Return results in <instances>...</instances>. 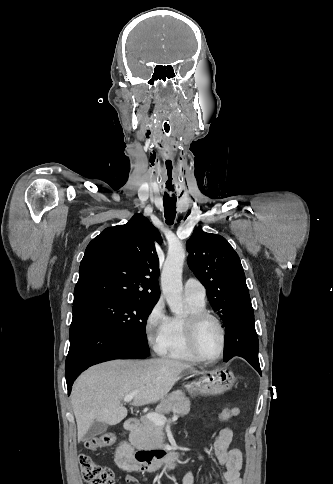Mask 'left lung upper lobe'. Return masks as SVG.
I'll list each match as a JSON object with an SVG mask.
<instances>
[{
    "label": "left lung upper lobe",
    "instance_id": "5c2ea615",
    "mask_svg": "<svg viewBox=\"0 0 333 484\" xmlns=\"http://www.w3.org/2000/svg\"><path fill=\"white\" fill-rule=\"evenodd\" d=\"M187 249L189 267L225 326L236 309L251 302L240 258L225 238L200 228L194 230Z\"/></svg>",
    "mask_w": 333,
    "mask_h": 484
}]
</instances>
